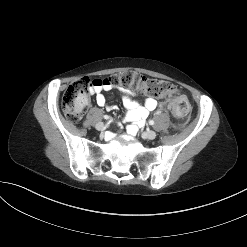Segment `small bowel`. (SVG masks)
Masks as SVG:
<instances>
[{"instance_id": "small-bowel-1", "label": "small bowel", "mask_w": 247, "mask_h": 247, "mask_svg": "<svg viewBox=\"0 0 247 247\" xmlns=\"http://www.w3.org/2000/svg\"><path fill=\"white\" fill-rule=\"evenodd\" d=\"M113 89V86L105 83H98L91 87L90 91L95 95L96 103L100 107H106L111 110L114 108L112 105H108L106 98L102 94L103 91ZM117 90L121 93L124 107L126 108L125 119L131 122L127 126V133L129 135L136 134L139 127H142L149 114L155 110L158 106V101L153 97H147L144 103H139L134 100L138 91L135 89L119 87Z\"/></svg>"}]
</instances>
